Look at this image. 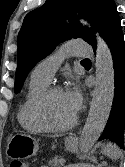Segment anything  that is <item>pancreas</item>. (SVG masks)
Segmentation results:
<instances>
[{
	"label": "pancreas",
	"mask_w": 125,
	"mask_h": 167,
	"mask_svg": "<svg viewBox=\"0 0 125 167\" xmlns=\"http://www.w3.org/2000/svg\"><path fill=\"white\" fill-rule=\"evenodd\" d=\"M62 158L54 157L52 160L49 161L51 167H61L62 163L60 162Z\"/></svg>",
	"instance_id": "cf45deb5"
}]
</instances>
